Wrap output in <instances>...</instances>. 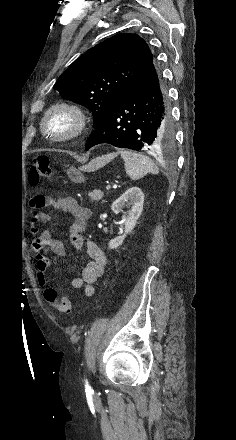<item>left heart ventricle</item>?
<instances>
[{
    "instance_id": "b2bd125f",
    "label": "left heart ventricle",
    "mask_w": 236,
    "mask_h": 440,
    "mask_svg": "<svg viewBox=\"0 0 236 440\" xmlns=\"http://www.w3.org/2000/svg\"><path fill=\"white\" fill-rule=\"evenodd\" d=\"M54 126L58 129H67L69 127V121L64 116H58L54 121Z\"/></svg>"
}]
</instances>
